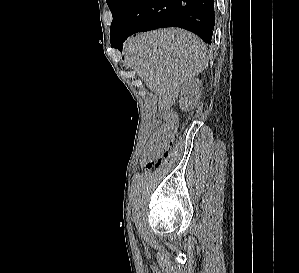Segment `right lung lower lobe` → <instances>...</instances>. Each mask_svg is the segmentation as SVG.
Masks as SVG:
<instances>
[{"mask_svg": "<svg viewBox=\"0 0 299 273\" xmlns=\"http://www.w3.org/2000/svg\"><path fill=\"white\" fill-rule=\"evenodd\" d=\"M215 25L214 0H134L112 47L122 50L132 34L164 27H180L210 43Z\"/></svg>", "mask_w": 299, "mask_h": 273, "instance_id": "1", "label": "right lung lower lobe"}]
</instances>
